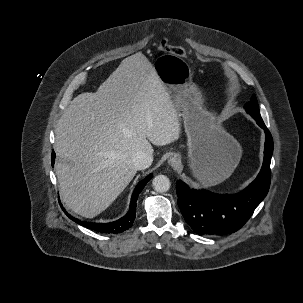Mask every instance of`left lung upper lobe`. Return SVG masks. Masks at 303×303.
<instances>
[{
	"label": "left lung upper lobe",
	"mask_w": 303,
	"mask_h": 303,
	"mask_svg": "<svg viewBox=\"0 0 303 303\" xmlns=\"http://www.w3.org/2000/svg\"><path fill=\"white\" fill-rule=\"evenodd\" d=\"M245 109L246 112L249 113L254 119L263 121L260 116L257 99L254 95L252 96L251 100L245 105Z\"/></svg>",
	"instance_id": "left-lung-upper-lobe-1"
}]
</instances>
